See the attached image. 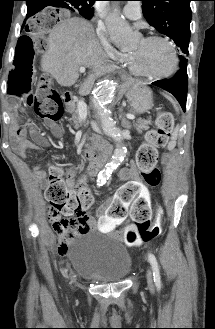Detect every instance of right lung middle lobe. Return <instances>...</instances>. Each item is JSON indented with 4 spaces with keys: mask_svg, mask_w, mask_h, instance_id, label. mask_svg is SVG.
<instances>
[{
    "mask_svg": "<svg viewBox=\"0 0 215 329\" xmlns=\"http://www.w3.org/2000/svg\"><path fill=\"white\" fill-rule=\"evenodd\" d=\"M92 6L81 0H67L63 8L78 12L86 19H90L93 15Z\"/></svg>",
    "mask_w": 215,
    "mask_h": 329,
    "instance_id": "1",
    "label": "right lung middle lobe"
}]
</instances>
